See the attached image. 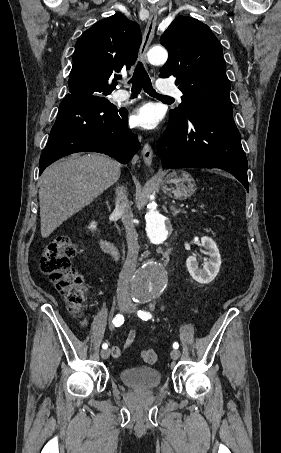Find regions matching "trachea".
<instances>
[{
	"label": "trachea",
	"instance_id": "1",
	"mask_svg": "<svg viewBox=\"0 0 281 453\" xmlns=\"http://www.w3.org/2000/svg\"><path fill=\"white\" fill-rule=\"evenodd\" d=\"M128 83H132L131 91L133 96L140 93L141 88H143V90L151 96L169 98L166 97V95H160L153 89L148 73L140 62L136 66L134 74Z\"/></svg>",
	"mask_w": 281,
	"mask_h": 453
}]
</instances>
